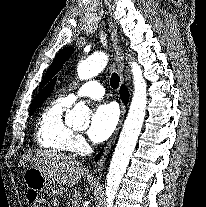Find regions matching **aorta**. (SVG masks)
Listing matches in <instances>:
<instances>
[{
	"label": "aorta",
	"mask_w": 206,
	"mask_h": 207,
	"mask_svg": "<svg viewBox=\"0 0 206 207\" xmlns=\"http://www.w3.org/2000/svg\"><path fill=\"white\" fill-rule=\"evenodd\" d=\"M107 63L108 56L104 52L94 53L79 63L78 76L80 79L92 78L103 71ZM131 68L134 94L107 174L106 207H113L117 191L140 135L146 113L147 84L143 78L141 67L132 62ZM89 113V108L83 101H80L69 112L66 122L71 124L87 122Z\"/></svg>",
	"instance_id": "762f6f07"
}]
</instances>
